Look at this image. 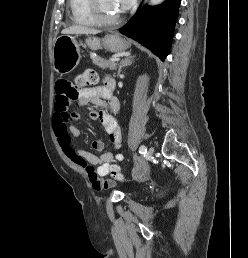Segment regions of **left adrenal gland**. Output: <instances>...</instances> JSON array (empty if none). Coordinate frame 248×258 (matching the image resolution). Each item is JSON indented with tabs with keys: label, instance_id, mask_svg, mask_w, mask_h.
<instances>
[{
	"label": "left adrenal gland",
	"instance_id": "1",
	"mask_svg": "<svg viewBox=\"0 0 248 258\" xmlns=\"http://www.w3.org/2000/svg\"><path fill=\"white\" fill-rule=\"evenodd\" d=\"M134 61V56H127L120 61L119 68H118V75L121 73V69L125 66H129Z\"/></svg>",
	"mask_w": 248,
	"mask_h": 258
}]
</instances>
